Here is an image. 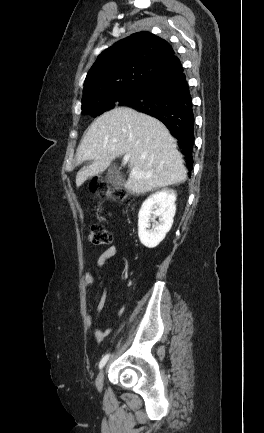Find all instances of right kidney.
<instances>
[{"instance_id":"ca27d5eb","label":"right kidney","mask_w":264,"mask_h":433,"mask_svg":"<svg viewBox=\"0 0 264 433\" xmlns=\"http://www.w3.org/2000/svg\"><path fill=\"white\" fill-rule=\"evenodd\" d=\"M175 201V191L164 189L143 202L138 214V236L144 246L154 248L165 238L173 224ZM152 215L159 217V223L150 229Z\"/></svg>"}]
</instances>
